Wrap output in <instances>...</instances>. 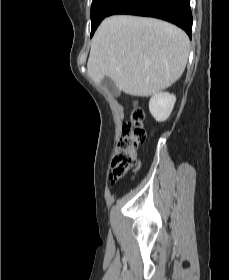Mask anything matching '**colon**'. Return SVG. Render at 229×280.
Here are the masks:
<instances>
[{"label": "colon", "instance_id": "colon-1", "mask_svg": "<svg viewBox=\"0 0 229 280\" xmlns=\"http://www.w3.org/2000/svg\"><path fill=\"white\" fill-rule=\"evenodd\" d=\"M144 112L135 106L130 114V120L124 124L121 138L117 144L111 162V176L121 178L137 162V149L146 140L143 125Z\"/></svg>", "mask_w": 229, "mask_h": 280}]
</instances>
